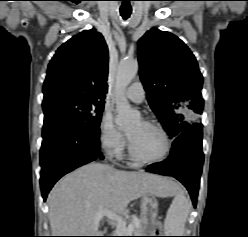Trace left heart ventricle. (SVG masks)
<instances>
[{"instance_id":"left-heart-ventricle-1","label":"left heart ventricle","mask_w":248,"mask_h":237,"mask_svg":"<svg viewBox=\"0 0 248 237\" xmlns=\"http://www.w3.org/2000/svg\"><path fill=\"white\" fill-rule=\"evenodd\" d=\"M127 133L136 152L145 158H155L162 154L165 142L162 135L141 120L134 122Z\"/></svg>"}]
</instances>
